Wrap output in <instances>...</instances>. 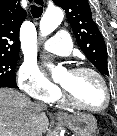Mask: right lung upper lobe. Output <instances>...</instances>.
Listing matches in <instances>:
<instances>
[{"label":"right lung upper lobe","instance_id":"obj_1","mask_svg":"<svg viewBox=\"0 0 117 136\" xmlns=\"http://www.w3.org/2000/svg\"><path fill=\"white\" fill-rule=\"evenodd\" d=\"M25 18L20 0H0V57H19V30Z\"/></svg>","mask_w":117,"mask_h":136}]
</instances>
